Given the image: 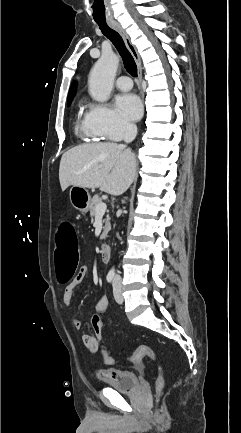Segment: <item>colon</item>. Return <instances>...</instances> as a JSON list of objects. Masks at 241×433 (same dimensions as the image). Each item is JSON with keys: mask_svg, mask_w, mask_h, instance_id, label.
Instances as JSON below:
<instances>
[{"mask_svg": "<svg viewBox=\"0 0 241 433\" xmlns=\"http://www.w3.org/2000/svg\"><path fill=\"white\" fill-rule=\"evenodd\" d=\"M76 234V225H74L72 220H63L61 225H56L55 230L51 231V247L54 259L56 261L55 268L57 270V279L60 283H67L72 278L74 270L77 269L78 265V243L77 238H74ZM90 324L92 325L96 337L101 338V314L95 313L90 319ZM90 349H95L98 347L101 349L103 358L106 363H112V358L109 356L108 352L100 346L99 343L88 342ZM145 357L150 358L156 362L158 366V376L156 379L157 389L161 390L164 385L163 379V369L160 364V360L156 352L147 345L139 346L129 357L128 360L134 364H140L141 360ZM112 370H107V373Z\"/></svg>", "mask_w": 241, "mask_h": 433, "instance_id": "5ec220e1", "label": "colon"}]
</instances>
